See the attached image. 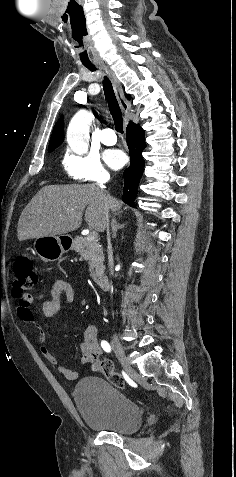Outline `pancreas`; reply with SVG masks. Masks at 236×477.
Masks as SVG:
<instances>
[{
    "mask_svg": "<svg viewBox=\"0 0 236 477\" xmlns=\"http://www.w3.org/2000/svg\"><path fill=\"white\" fill-rule=\"evenodd\" d=\"M72 249L88 261L90 276L96 280L103 276L105 266L102 248L96 241H88L86 237H76Z\"/></svg>",
    "mask_w": 236,
    "mask_h": 477,
    "instance_id": "cf45deb5",
    "label": "pancreas"
}]
</instances>
